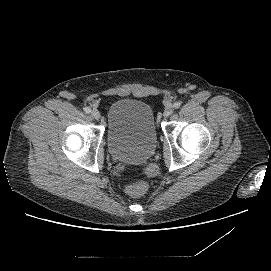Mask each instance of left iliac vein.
Returning <instances> with one entry per match:
<instances>
[{
  "label": "left iliac vein",
  "instance_id": "obj_1",
  "mask_svg": "<svg viewBox=\"0 0 271 271\" xmlns=\"http://www.w3.org/2000/svg\"><path fill=\"white\" fill-rule=\"evenodd\" d=\"M173 111H174V106L172 105L167 106L163 113L164 117L170 116L173 113Z\"/></svg>",
  "mask_w": 271,
  "mask_h": 271
}]
</instances>
